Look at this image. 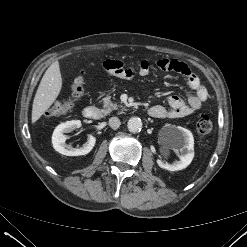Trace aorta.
I'll return each mask as SVG.
<instances>
[{"label":"aorta","instance_id":"obj_1","mask_svg":"<svg viewBox=\"0 0 247 247\" xmlns=\"http://www.w3.org/2000/svg\"><path fill=\"white\" fill-rule=\"evenodd\" d=\"M127 128L132 133H138L142 129V121L138 117H132L128 120Z\"/></svg>","mask_w":247,"mask_h":247}]
</instances>
